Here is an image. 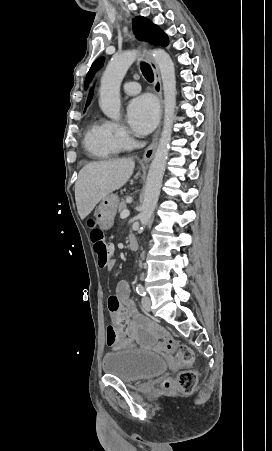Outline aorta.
Segmentation results:
<instances>
[{
    "label": "aorta",
    "instance_id": "aorta-1",
    "mask_svg": "<svg viewBox=\"0 0 272 451\" xmlns=\"http://www.w3.org/2000/svg\"><path fill=\"white\" fill-rule=\"evenodd\" d=\"M137 50L113 56L102 74L99 106L105 116L120 120V84L130 66L139 58ZM152 56L160 70L164 94V126L147 176L144 200L139 214L140 224H148L158 202L163 174L168 158L169 144L176 106V76L174 64L165 50H153Z\"/></svg>",
    "mask_w": 272,
    "mask_h": 451
}]
</instances>
